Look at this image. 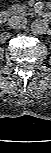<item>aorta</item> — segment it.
Here are the masks:
<instances>
[{"label":"aorta","instance_id":"aorta-1","mask_svg":"<svg viewBox=\"0 0 51 153\" xmlns=\"http://www.w3.org/2000/svg\"><path fill=\"white\" fill-rule=\"evenodd\" d=\"M30 29L34 35H42L47 32L49 25L44 19H36L32 22Z\"/></svg>","mask_w":51,"mask_h":153}]
</instances>
